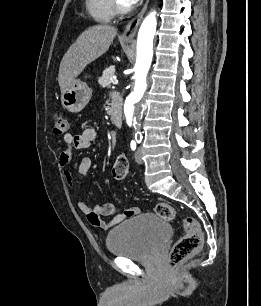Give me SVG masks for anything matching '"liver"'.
Segmentation results:
<instances>
[{
  "instance_id": "liver-1",
  "label": "liver",
  "mask_w": 261,
  "mask_h": 306,
  "mask_svg": "<svg viewBox=\"0 0 261 306\" xmlns=\"http://www.w3.org/2000/svg\"><path fill=\"white\" fill-rule=\"evenodd\" d=\"M117 34L110 25H95L85 30L63 56L58 81L61 93L81 74L85 67L106 53Z\"/></svg>"
}]
</instances>
